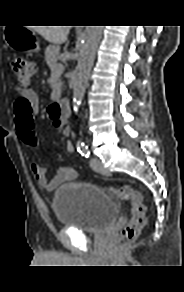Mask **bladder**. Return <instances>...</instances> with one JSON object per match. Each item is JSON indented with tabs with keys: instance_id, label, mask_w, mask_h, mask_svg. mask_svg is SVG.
I'll return each instance as SVG.
<instances>
[{
	"instance_id": "31cf9c89",
	"label": "bladder",
	"mask_w": 184,
	"mask_h": 292,
	"mask_svg": "<svg viewBox=\"0 0 184 292\" xmlns=\"http://www.w3.org/2000/svg\"><path fill=\"white\" fill-rule=\"evenodd\" d=\"M52 208L63 227L92 234L113 225L119 215L114 195L87 183L61 185L54 193Z\"/></svg>"
}]
</instances>
